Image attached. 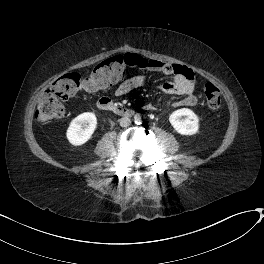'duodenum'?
I'll list each match as a JSON object with an SVG mask.
<instances>
[{
    "mask_svg": "<svg viewBox=\"0 0 264 264\" xmlns=\"http://www.w3.org/2000/svg\"><path fill=\"white\" fill-rule=\"evenodd\" d=\"M97 107L101 111L112 112L122 117H130L134 111L130 108L120 107L115 105L109 98H101L97 102Z\"/></svg>",
    "mask_w": 264,
    "mask_h": 264,
    "instance_id": "duodenum-1",
    "label": "duodenum"
}]
</instances>
